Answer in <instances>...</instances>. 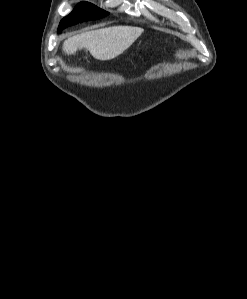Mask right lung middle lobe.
I'll return each instance as SVG.
<instances>
[{"label":"right lung middle lobe","mask_w":247,"mask_h":299,"mask_svg":"<svg viewBox=\"0 0 247 299\" xmlns=\"http://www.w3.org/2000/svg\"><path fill=\"white\" fill-rule=\"evenodd\" d=\"M106 15H108V13L97 6L88 2H81L68 16L61 20L58 33H61L66 27L88 20L99 19Z\"/></svg>","instance_id":"right-lung-middle-lobe-1"}]
</instances>
